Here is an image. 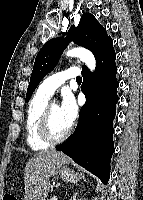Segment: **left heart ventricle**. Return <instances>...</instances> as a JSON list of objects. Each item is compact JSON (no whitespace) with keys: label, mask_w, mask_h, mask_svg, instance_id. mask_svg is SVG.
<instances>
[{"label":"left heart ventricle","mask_w":143,"mask_h":200,"mask_svg":"<svg viewBox=\"0 0 143 200\" xmlns=\"http://www.w3.org/2000/svg\"><path fill=\"white\" fill-rule=\"evenodd\" d=\"M70 126L63 119L60 114L59 106L52 104L50 109V130L56 137L64 134Z\"/></svg>","instance_id":"left-heart-ventricle-1"}]
</instances>
